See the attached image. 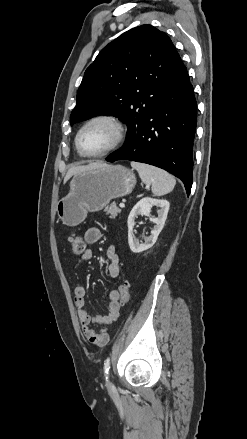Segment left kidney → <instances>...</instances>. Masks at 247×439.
Returning <instances> with one entry per match:
<instances>
[{
  "label": "left kidney",
  "instance_id": "1",
  "mask_svg": "<svg viewBox=\"0 0 247 439\" xmlns=\"http://www.w3.org/2000/svg\"><path fill=\"white\" fill-rule=\"evenodd\" d=\"M153 206H156L159 208L157 210L158 217L157 218H151L150 220L155 224L153 230L151 231V235L147 238H145L144 243H140L139 240L135 237L133 233V228L135 226V218L137 215H147L150 216L151 208ZM169 202L167 200H159L154 199L150 197L142 198L131 210L129 216H128V243L129 247L132 252L134 253H140L143 252L149 248H151L157 238L160 232L162 231L167 214L169 211Z\"/></svg>",
  "mask_w": 247,
  "mask_h": 439
}]
</instances>
